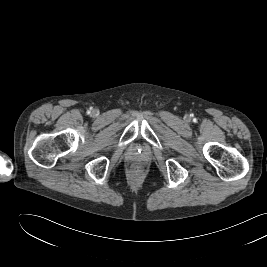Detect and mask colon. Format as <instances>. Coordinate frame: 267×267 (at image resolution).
Here are the masks:
<instances>
[{
	"label": "colon",
	"instance_id": "1",
	"mask_svg": "<svg viewBox=\"0 0 267 267\" xmlns=\"http://www.w3.org/2000/svg\"><path fill=\"white\" fill-rule=\"evenodd\" d=\"M133 171H134L135 173H140V172L142 171V167H141L140 165H135V166L133 167Z\"/></svg>",
	"mask_w": 267,
	"mask_h": 267
}]
</instances>
